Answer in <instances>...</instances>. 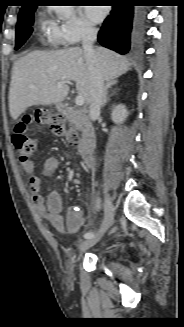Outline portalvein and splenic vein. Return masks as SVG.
<instances>
[{"label": "portal vein and splenic vein", "instance_id": "portal-vein-and-splenic-vein-1", "mask_svg": "<svg viewBox=\"0 0 184 327\" xmlns=\"http://www.w3.org/2000/svg\"><path fill=\"white\" fill-rule=\"evenodd\" d=\"M61 86H62L61 83H58V84H57V87H58V88H60ZM75 104H76L77 106H82V105H84V98H83L81 95L76 96V98H75Z\"/></svg>", "mask_w": 184, "mask_h": 327}]
</instances>
